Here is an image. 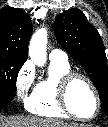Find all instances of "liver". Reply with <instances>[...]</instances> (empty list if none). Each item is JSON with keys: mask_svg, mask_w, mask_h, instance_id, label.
I'll list each match as a JSON object with an SVG mask.
<instances>
[{"mask_svg": "<svg viewBox=\"0 0 108 127\" xmlns=\"http://www.w3.org/2000/svg\"><path fill=\"white\" fill-rule=\"evenodd\" d=\"M0 127H89L87 125L69 124L52 118L36 116H0Z\"/></svg>", "mask_w": 108, "mask_h": 127, "instance_id": "obj_1", "label": "liver"}]
</instances>
